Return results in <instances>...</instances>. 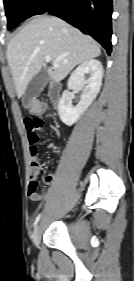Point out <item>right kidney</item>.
I'll use <instances>...</instances> for the list:
<instances>
[{
    "label": "right kidney",
    "instance_id": "right-kidney-1",
    "mask_svg": "<svg viewBox=\"0 0 134 281\" xmlns=\"http://www.w3.org/2000/svg\"><path fill=\"white\" fill-rule=\"evenodd\" d=\"M87 73H90L91 76L85 80L84 75ZM102 78L103 66L96 59L84 61L73 71L68 80V89L63 92L58 104L59 116L64 124L73 125L92 104L100 91ZM81 88H83L81 100L73 107V95L70 94L69 90Z\"/></svg>",
    "mask_w": 134,
    "mask_h": 281
}]
</instances>
